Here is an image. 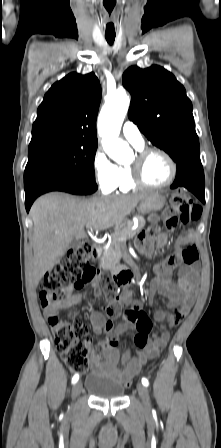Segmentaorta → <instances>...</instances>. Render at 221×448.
Returning a JSON list of instances; mask_svg holds the SVG:
<instances>
[{
    "label": "aorta",
    "mask_w": 221,
    "mask_h": 448,
    "mask_svg": "<svg viewBox=\"0 0 221 448\" xmlns=\"http://www.w3.org/2000/svg\"><path fill=\"white\" fill-rule=\"evenodd\" d=\"M130 99L125 91L108 96L98 120V131L102 146L110 158L119 164H126L132 157L127 142L118 138L128 110Z\"/></svg>",
    "instance_id": "aorta-1"
}]
</instances>
